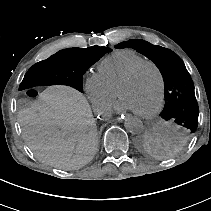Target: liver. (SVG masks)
<instances>
[{"label": "liver", "mask_w": 211, "mask_h": 211, "mask_svg": "<svg viewBox=\"0 0 211 211\" xmlns=\"http://www.w3.org/2000/svg\"><path fill=\"white\" fill-rule=\"evenodd\" d=\"M28 147L43 162L61 169L85 165L97 147L95 118L86 99L65 86L46 89L18 112Z\"/></svg>", "instance_id": "liver-1"}]
</instances>
